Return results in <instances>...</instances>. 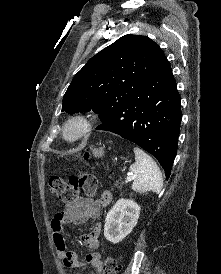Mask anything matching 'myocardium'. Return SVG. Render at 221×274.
<instances>
[{
	"instance_id": "1",
	"label": "myocardium",
	"mask_w": 221,
	"mask_h": 274,
	"mask_svg": "<svg viewBox=\"0 0 221 274\" xmlns=\"http://www.w3.org/2000/svg\"><path fill=\"white\" fill-rule=\"evenodd\" d=\"M93 127L92 118L85 113L70 116L62 125L61 138L67 143H74L87 135Z\"/></svg>"
}]
</instances>
